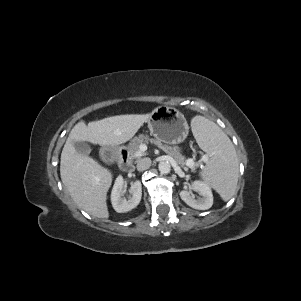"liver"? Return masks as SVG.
Listing matches in <instances>:
<instances>
[{
  "mask_svg": "<svg viewBox=\"0 0 301 301\" xmlns=\"http://www.w3.org/2000/svg\"><path fill=\"white\" fill-rule=\"evenodd\" d=\"M149 119L145 115H119L77 123L63 147L60 175L74 202L90 215L108 218L107 192L112 174L94 159L76 152L74 142L88 141L100 146H116L129 141Z\"/></svg>",
  "mask_w": 301,
  "mask_h": 301,
  "instance_id": "6515ba94",
  "label": "liver"
}]
</instances>
